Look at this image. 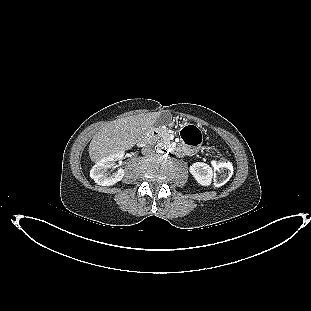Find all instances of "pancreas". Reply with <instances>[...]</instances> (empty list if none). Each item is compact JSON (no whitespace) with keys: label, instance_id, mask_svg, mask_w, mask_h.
<instances>
[{"label":"pancreas","instance_id":"pancreas-1","mask_svg":"<svg viewBox=\"0 0 311 311\" xmlns=\"http://www.w3.org/2000/svg\"><path fill=\"white\" fill-rule=\"evenodd\" d=\"M160 135H161V137H162L163 139H167L168 136H169V134H168V132H167L166 130H162L161 133H160Z\"/></svg>","mask_w":311,"mask_h":311}]
</instances>
